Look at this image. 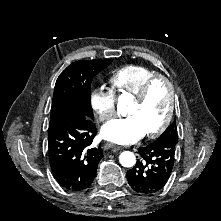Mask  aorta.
I'll return each mask as SVG.
<instances>
[{
	"instance_id": "1",
	"label": "aorta",
	"mask_w": 221,
	"mask_h": 221,
	"mask_svg": "<svg viewBox=\"0 0 221 221\" xmlns=\"http://www.w3.org/2000/svg\"><path fill=\"white\" fill-rule=\"evenodd\" d=\"M119 162L123 167H133L136 162V158L133 152L124 151L119 156Z\"/></svg>"
}]
</instances>
